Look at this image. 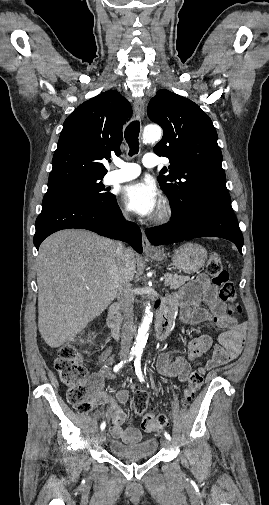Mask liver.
<instances>
[{
  "mask_svg": "<svg viewBox=\"0 0 269 505\" xmlns=\"http://www.w3.org/2000/svg\"><path fill=\"white\" fill-rule=\"evenodd\" d=\"M117 242L86 230L56 232L39 247L38 327L47 345L72 340L116 298L120 279L136 273L135 253L118 262Z\"/></svg>",
  "mask_w": 269,
  "mask_h": 505,
  "instance_id": "obj_1",
  "label": "liver"
}]
</instances>
